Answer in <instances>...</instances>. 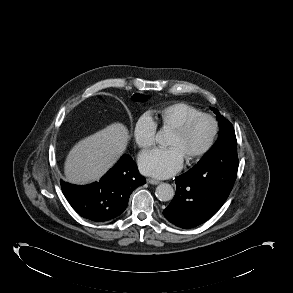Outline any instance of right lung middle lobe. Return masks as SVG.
<instances>
[{"instance_id":"right-lung-middle-lobe-1","label":"right lung middle lobe","mask_w":293,"mask_h":293,"mask_svg":"<svg viewBox=\"0 0 293 293\" xmlns=\"http://www.w3.org/2000/svg\"><path fill=\"white\" fill-rule=\"evenodd\" d=\"M132 99L134 101H145L148 99V96L147 95H142V94H135Z\"/></svg>"}]
</instances>
